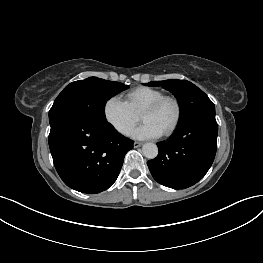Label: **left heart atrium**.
Returning <instances> with one entry per match:
<instances>
[{
  "label": "left heart atrium",
  "mask_w": 263,
  "mask_h": 263,
  "mask_svg": "<svg viewBox=\"0 0 263 263\" xmlns=\"http://www.w3.org/2000/svg\"><path fill=\"white\" fill-rule=\"evenodd\" d=\"M163 134L161 129L150 121H145L142 125L138 126L130 135L135 139H155Z\"/></svg>",
  "instance_id": "39dd6f15"
}]
</instances>
